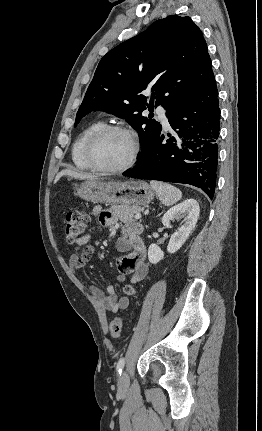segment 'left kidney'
<instances>
[{
	"label": "left kidney",
	"instance_id": "5707ae66",
	"mask_svg": "<svg viewBox=\"0 0 262 431\" xmlns=\"http://www.w3.org/2000/svg\"><path fill=\"white\" fill-rule=\"evenodd\" d=\"M200 214V207L196 200L188 199L170 208L162 217L164 226L169 227L174 220L184 219L183 224L171 236L167 246L168 253L177 252L188 239L190 233L195 228ZM164 258V252L156 244H151L148 248V259L152 264H157Z\"/></svg>",
	"mask_w": 262,
	"mask_h": 431
}]
</instances>
